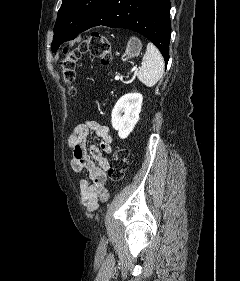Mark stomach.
<instances>
[{
	"label": "stomach",
	"instance_id": "1",
	"mask_svg": "<svg viewBox=\"0 0 240 281\" xmlns=\"http://www.w3.org/2000/svg\"><path fill=\"white\" fill-rule=\"evenodd\" d=\"M142 49L141 41L136 37H131L127 43L122 60L126 62L129 58L137 56Z\"/></svg>",
	"mask_w": 240,
	"mask_h": 281
}]
</instances>
